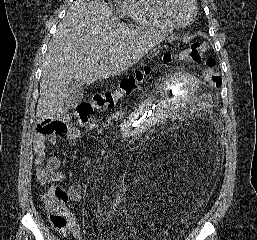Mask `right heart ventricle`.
Wrapping results in <instances>:
<instances>
[{
  "instance_id": "e07e8e85",
  "label": "right heart ventricle",
  "mask_w": 257,
  "mask_h": 240,
  "mask_svg": "<svg viewBox=\"0 0 257 240\" xmlns=\"http://www.w3.org/2000/svg\"><path fill=\"white\" fill-rule=\"evenodd\" d=\"M121 8L125 15L144 28L162 33L174 31L162 17L158 0H121Z\"/></svg>"
}]
</instances>
